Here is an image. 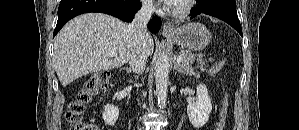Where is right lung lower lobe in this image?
<instances>
[{
    "label": "right lung lower lobe",
    "mask_w": 299,
    "mask_h": 130,
    "mask_svg": "<svg viewBox=\"0 0 299 130\" xmlns=\"http://www.w3.org/2000/svg\"><path fill=\"white\" fill-rule=\"evenodd\" d=\"M141 8L140 0H61L58 9V21L53 36L73 17L88 13L100 12L131 22L135 13ZM161 27V20L154 17L148 23L151 31Z\"/></svg>",
    "instance_id": "obj_1"
}]
</instances>
